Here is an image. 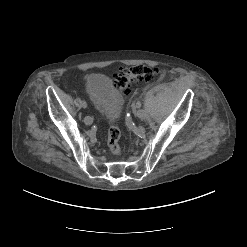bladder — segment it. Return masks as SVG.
Listing matches in <instances>:
<instances>
[{"mask_svg":"<svg viewBox=\"0 0 247 247\" xmlns=\"http://www.w3.org/2000/svg\"><path fill=\"white\" fill-rule=\"evenodd\" d=\"M86 90L103 118L110 124L121 117L124 100L112 80L103 74H91L86 79Z\"/></svg>","mask_w":247,"mask_h":247,"instance_id":"obj_1","label":"bladder"}]
</instances>
